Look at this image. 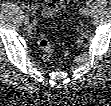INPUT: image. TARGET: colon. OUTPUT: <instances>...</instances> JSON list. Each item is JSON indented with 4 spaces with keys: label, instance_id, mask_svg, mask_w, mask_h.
<instances>
[{
    "label": "colon",
    "instance_id": "obj_1",
    "mask_svg": "<svg viewBox=\"0 0 111 106\" xmlns=\"http://www.w3.org/2000/svg\"><path fill=\"white\" fill-rule=\"evenodd\" d=\"M38 43L43 52L44 59L49 60L53 55V49L48 37L45 34H41Z\"/></svg>",
    "mask_w": 111,
    "mask_h": 106
}]
</instances>
